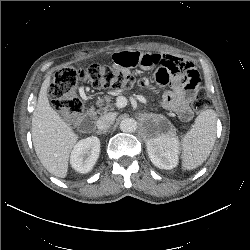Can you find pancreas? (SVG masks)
<instances>
[{"label": "pancreas", "instance_id": "obj_1", "mask_svg": "<svg viewBox=\"0 0 250 250\" xmlns=\"http://www.w3.org/2000/svg\"><path fill=\"white\" fill-rule=\"evenodd\" d=\"M112 97L105 95L103 98L97 101V106L99 107L98 111H107L112 106Z\"/></svg>", "mask_w": 250, "mask_h": 250}]
</instances>
